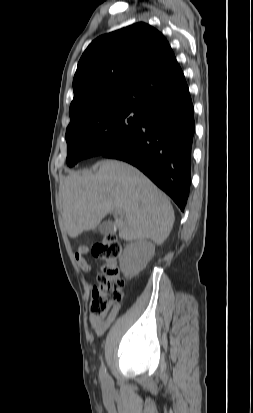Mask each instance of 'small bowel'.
I'll use <instances>...</instances> for the list:
<instances>
[{"label":"small bowel","mask_w":253,"mask_h":413,"mask_svg":"<svg viewBox=\"0 0 253 413\" xmlns=\"http://www.w3.org/2000/svg\"><path fill=\"white\" fill-rule=\"evenodd\" d=\"M89 253V248L87 246H80L76 251L74 258L77 265L84 271L89 272L91 270V266L86 260V256ZM120 311V305L115 304L111 310L104 316H93L90 315L89 317V324L92 330L95 332L97 336L102 335L109 326L113 323L116 316Z\"/></svg>","instance_id":"small-bowel-1"}]
</instances>
